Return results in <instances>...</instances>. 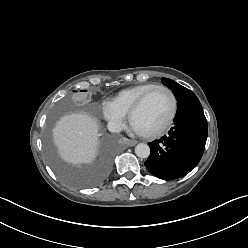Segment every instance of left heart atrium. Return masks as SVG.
Here are the masks:
<instances>
[{
    "label": "left heart atrium",
    "instance_id": "39dd6f15",
    "mask_svg": "<svg viewBox=\"0 0 248 248\" xmlns=\"http://www.w3.org/2000/svg\"><path fill=\"white\" fill-rule=\"evenodd\" d=\"M133 130L136 131L137 133H140L139 131H137L133 126H132Z\"/></svg>",
    "mask_w": 248,
    "mask_h": 248
}]
</instances>
